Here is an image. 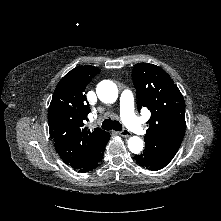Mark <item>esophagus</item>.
Here are the masks:
<instances>
[{"label":"esophagus","instance_id":"1","mask_svg":"<svg viewBox=\"0 0 221 221\" xmlns=\"http://www.w3.org/2000/svg\"><path fill=\"white\" fill-rule=\"evenodd\" d=\"M118 134L122 137H129L131 133L127 129H124V130L118 132Z\"/></svg>","mask_w":221,"mask_h":221}]
</instances>
